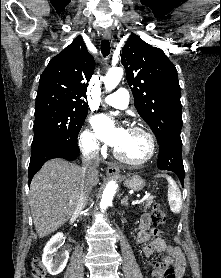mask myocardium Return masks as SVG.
Returning a JSON list of instances; mask_svg holds the SVG:
<instances>
[{
	"label": "myocardium",
	"instance_id": "myocardium-1",
	"mask_svg": "<svg viewBox=\"0 0 221 278\" xmlns=\"http://www.w3.org/2000/svg\"><path fill=\"white\" fill-rule=\"evenodd\" d=\"M128 131L142 133L147 138L149 149H148V153H147L146 157L143 159H140V160H131V159L124 157L122 154H120L117 149H114L113 154L119 161H121L127 165L134 166V167L143 166L144 164L150 162L155 156V153H156L155 138L149 130H147L143 127H140V126H131L128 128Z\"/></svg>",
	"mask_w": 221,
	"mask_h": 278
}]
</instances>
